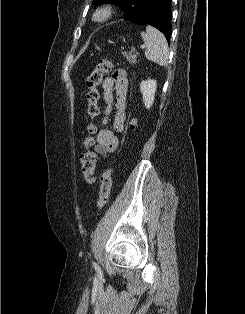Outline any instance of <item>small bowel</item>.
Returning <instances> with one entry per match:
<instances>
[{"instance_id": "obj_1", "label": "small bowel", "mask_w": 245, "mask_h": 314, "mask_svg": "<svg viewBox=\"0 0 245 314\" xmlns=\"http://www.w3.org/2000/svg\"><path fill=\"white\" fill-rule=\"evenodd\" d=\"M106 109L101 122V127L96 137L95 152L107 157L114 153L119 146V137L115 132L121 133L125 130L127 95H128V74L125 69H117L111 77L102 82ZM114 110L113 128L107 127L109 115Z\"/></svg>"}]
</instances>
